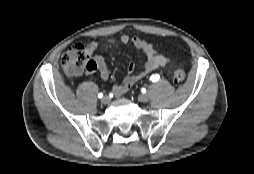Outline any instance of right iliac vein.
Here are the masks:
<instances>
[{"instance_id":"right-iliac-vein-1","label":"right iliac vein","mask_w":254,"mask_h":174,"mask_svg":"<svg viewBox=\"0 0 254 174\" xmlns=\"http://www.w3.org/2000/svg\"><path fill=\"white\" fill-rule=\"evenodd\" d=\"M109 101H110V99H109L108 96H104V97L101 99V103H102L103 105L108 104Z\"/></svg>"}]
</instances>
